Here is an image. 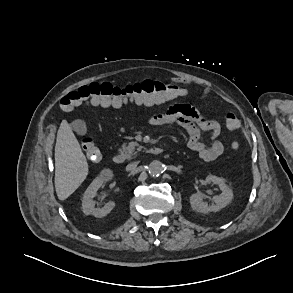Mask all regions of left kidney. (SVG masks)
<instances>
[{
  "label": "left kidney",
  "instance_id": "left-kidney-1",
  "mask_svg": "<svg viewBox=\"0 0 293 293\" xmlns=\"http://www.w3.org/2000/svg\"><path fill=\"white\" fill-rule=\"evenodd\" d=\"M206 183L217 184L222 191V194L214 196V203L211 205H208L207 202L203 201V195L201 193L192 194L190 197V205L194 211L201 213L217 212L231 202L233 199V193L231 188L226 185L224 178L208 175L206 177Z\"/></svg>",
  "mask_w": 293,
  "mask_h": 293
}]
</instances>
